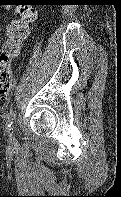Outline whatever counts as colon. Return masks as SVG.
<instances>
[{"label": "colon", "mask_w": 121, "mask_h": 197, "mask_svg": "<svg viewBox=\"0 0 121 197\" xmlns=\"http://www.w3.org/2000/svg\"><path fill=\"white\" fill-rule=\"evenodd\" d=\"M16 15L6 27L5 41L0 49V99H5L13 87L12 60L28 35L29 25L36 19L35 9L19 1Z\"/></svg>", "instance_id": "1"}]
</instances>
